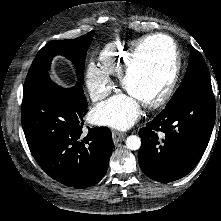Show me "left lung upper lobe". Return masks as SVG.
Returning a JSON list of instances; mask_svg holds the SVG:
<instances>
[{
    "instance_id": "1",
    "label": "left lung upper lobe",
    "mask_w": 221,
    "mask_h": 221,
    "mask_svg": "<svg viewBox=\"0 0 221 221\" xmlns=\"http://www.w3.org/2000/svg\"><path fill=\"white\" fill-rule=\"evenodd\" d=\"M195 90L212 92V86L209 71L203 57L192 45H190L189 66L186 74L181 85L166 107L178 102L185 95Z\"/></svg>"
}]
</instances>
